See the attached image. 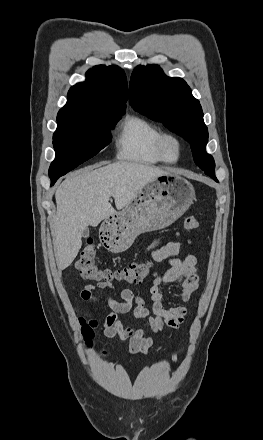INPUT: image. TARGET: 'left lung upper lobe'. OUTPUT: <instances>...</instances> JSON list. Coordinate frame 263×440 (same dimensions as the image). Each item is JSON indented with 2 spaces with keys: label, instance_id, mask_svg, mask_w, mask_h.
Masks as SVG:
<instances>
[{
  "label": "left lung upper lobe",
  "instance_id": "5c2ea615",
  "mask_svg": "<svg viewBox=\"0 0 263 440\" xmlns=\"http://www.w3.org/2000/svg\"><path fill=\"white\" fill-rule=\"evenodd\" d=\"M130 103L190 143L195 163L213 179L215 162L206 152L208 130L201 105L182 78L167 77L157 65L137 66L130 79Z\"/></svg>",
  "mask_w": 263,
  "mask_h": 440
}]
</instances>
